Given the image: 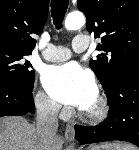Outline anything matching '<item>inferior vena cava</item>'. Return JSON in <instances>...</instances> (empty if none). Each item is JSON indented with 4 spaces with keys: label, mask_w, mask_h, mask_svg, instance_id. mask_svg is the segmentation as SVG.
I'll list each match as a JSON object with an SVG mask.
<instances>
[{
    "label": "inferior vena cava",
    "mask_w": 139,
    "mask_h": 150,
    "mask_svg": "<svg viewBox=\"0 0 139 150\" xmlns=\"http://www.w3.org/2000/svg\"><path fill=\"white\" fill-rule=\"evenodd\" d=\"M60 106L44 97L37 105L36 133L42 145L41 150H53V144L58 130V111Z\"/></svg>",
    "instance_id": "602c4592"
}]
</instances>
